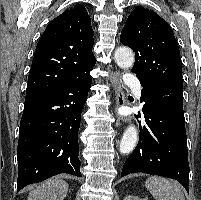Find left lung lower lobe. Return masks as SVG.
Here are the masks:
<instances>
[{
	"mask_svg": "<svg viewBox=\"0 0 201 200\" xmlns=\"http://www.w3.org/2000/svg\"><path fill=\"white\" fill-rule=\"evenodd\" d=\"M145 125L122 176L142 172L178 180L188 191L189 163L183 111V84L142 86ZM189 192V191H188Z\"/></svg>",
	"mask_w": 201,
	"mask_h": 200,
	"instance_id": "left-lung-lower-lobe-1",
	"label": "left lung lower lobe"
}]
</instances>
